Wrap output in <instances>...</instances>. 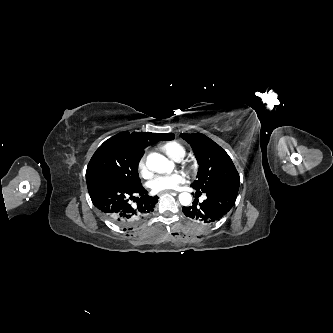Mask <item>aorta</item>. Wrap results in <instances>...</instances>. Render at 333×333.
Segmentation results:
<instances>
[{
	"instance_id": "762f6f07",
	"label": "aorta",
	"mask_w": 333,
	"mask_h": 333,
	"mask_svg": "<svg viewBox=\"0 0 333 333\" xmlns=\"http://www.w3.org/2000/svg\"><path fill=\"white\" fill-rule=\"evenodd\" d=\"M147 167L158 173H171L174 170L175 164L169 161L166 157L158 153H152L147 157ZM179 201L182 205L188 206L192 201V196L189 193H181Z\"/></svg>"
}]
</instances>
